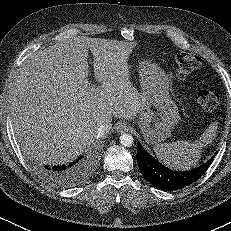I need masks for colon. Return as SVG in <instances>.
<instances>
[{
	"instance_id": "colon-1",
	"label": "colon",
	"mask_w": 231,
	"mask_h": 231,
	"mask_svg": "<svg viewBox=\"0 0 231 231\" xmlns=\"http://www.w3.org/2000/svg\"><path fill=\"white\" fill-rule=\"evenodd\" d=\"M176 71L180 79H185L201 65L199 56L180 52L175 57ZM197 103L204 110H213L218 105V95L211 90H201L197 94Z\"/></svg>"
}]
</instances>
